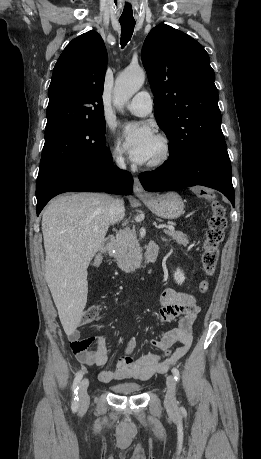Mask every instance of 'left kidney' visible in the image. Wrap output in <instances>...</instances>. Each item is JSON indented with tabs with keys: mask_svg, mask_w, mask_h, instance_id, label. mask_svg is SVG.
I'll return each mask as SVG.
<instances>
[{
	"mask_svg": "<svg viewBox=\"0 0 261 459\" xmlns=\"http://www.w3.org/2000/svg\"><path fill=\"white\" fill-rule=\"evenodd\" d=\"M174 280L178 284H182L185 280L184 273L179 268L174 272Z\"/></svg>",
	"mask_w": 261,
	"mask_h": 459,
	"instance_id": "obj_1",
	"label": "left kidney"
}]
</instances>
